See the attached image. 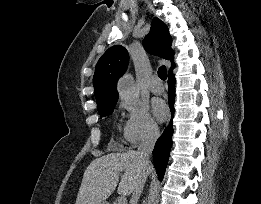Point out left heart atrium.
Here are the masks:
<instances>
[{
    "instance_id": "39dd6f15",
    "label": "left heart atrium",
    "mask_w": 261,
    "mask_h": 204,
    "mask_svg": "<svg viewBox=\"0 0 261 204\" xmlns=\"http://www.w3.org/2000/svg\"><path fill=\"white\" fill-rule=\"evenodd\" d=\"M152 109L154 115L160 121H164L169 115L168 107L162 99H154L152 101Z\"/></svg>"
}]
</instances>
